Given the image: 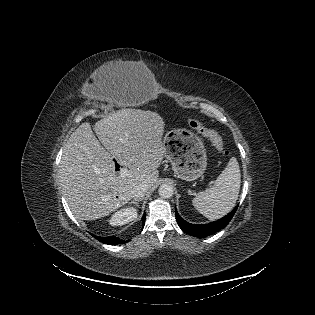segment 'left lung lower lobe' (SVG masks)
<instances>
[{"label":"left lung lower lobe","mask_w":315,"mask_h":315,"mask_svg":"<svg viewBox=\"0 0 315 315\" xmlns=\"http://www.w3.org/2000/svg\"><path fill=\"white\" fill-rule=\"evenodd\" d=\"M238 208V205L234 208L233 211H231L228 215L224 216L223 218L208 223V224H192L189 223L181 218V216L178 214L177 210L176 213V220L179 225V227L187 234H190L195 237L203 238L207 237L211 234H214L218 232L219 230L223 229L225 226L228 225L232 217L234 216L236 210Z\"/></svg>","instance_id":"0a47b994"}]
</instances>
